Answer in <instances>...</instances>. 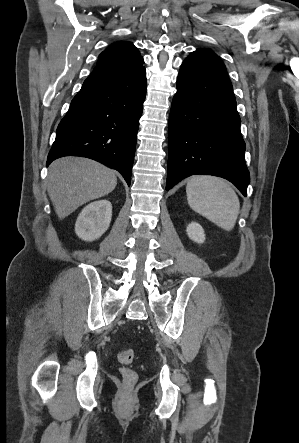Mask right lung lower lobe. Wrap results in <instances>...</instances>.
<instances>
[{"instance_id": "98d812e1", "label": "right lung lower lobe", "mask_w": 299, "mask_h": 443, "mask_svg": "<svg viewBox=\"0 0 299 443\" xmlns=\"http://www.w3.org/2000/svg\"><path fill=\"white\" fill-rule=\"evenodd\" d=\"M145 95V69L89 76L58 125L47 166L62 156L88 157L119 171L130 186Z\"/></svg>"}]
</instances>
